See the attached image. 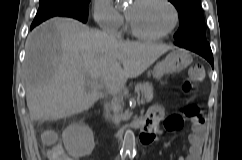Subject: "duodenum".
<instances>
[{
  "instance_id": "duodenum-1",
  "label": "duodenum",
  "mask_w": 242,
  "mask_h": 160,
  "mask_svg": "<svg viewBox=\"0 0 242 160\" xmlns=\"http://www.w3.org/2000/svg\"><path fill=\"white\" fill-rule=\"evenodd\" d=\"M146 123V119L144 117L135 119L132 121L129 125V128L131 129H143L144 125ZM124 132V129L122 130V133Z\"/></svg>"
}]
</instances>
